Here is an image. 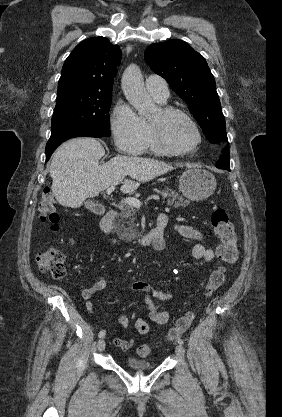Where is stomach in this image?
Here are the masks:
<instances>
[{
    "instance_id": "0dacf381",
    "label": "stomach",
    "mask_w": 282,
    "mask_h": 417,
    "mask_svg": "<svg viewBox=\"0 0 282 417\" xmlns=\"http://www.w3.org/2000/svg\"><path fill=\"white\" fill-rule=\"evenodd\" d=\"M217 186L212 172L205 168H187L180 176L179 190L190 200H204L213 194Z\"/></svg>"
}]
</instances>
